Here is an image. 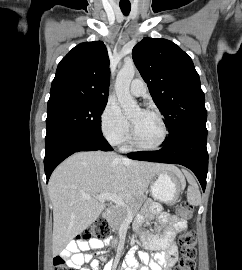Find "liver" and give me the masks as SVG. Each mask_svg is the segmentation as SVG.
Here are the masks:
<instances>
[{
  "label": "liver",
  "instance_id": "1",
  "mask_svg": "<svg viewBox=\"0 0 242 270\" xmlns=\"http://www.w3.org/2000/svg\"><path fill=\"white\" fill-rule=\"evenodd\" d=\"M162 171L181 174L173 165L134 161L112 152H78L67 158L54 170L48 186L53 205V251L59 253L96 221L105 205L95 196L115 193L125 201L139 200Z\"/></svg>",
  "mask_w": 242,
  "mask_h": 270
}]
</instances>
